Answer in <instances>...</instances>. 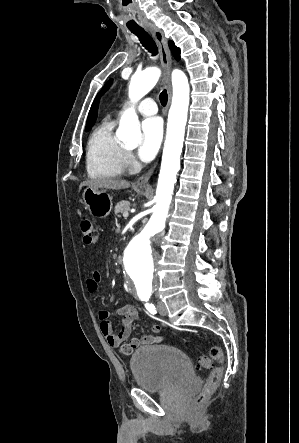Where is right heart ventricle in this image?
Listing matches in <instances>:
<instances>
[{"label":"right heart ventricle","mask_w":299,"mask_h":443,"mask_svg":"<svg viewBox=\"0 0 299 443\" xmlns=\"http://www.w3.org/2000/svg\"><path fill=\"white\" fill-rule=\"evenodd\" d=\"M113 123L105 121L90 135L87 143L86 169L91 178L109 179L122 174L125 149L113 134Z\"/></svg>","instance_id":"obj_1"}]
</instances>
